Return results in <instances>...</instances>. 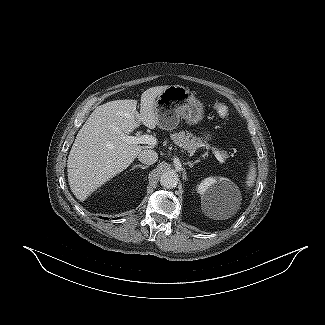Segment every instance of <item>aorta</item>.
Instances as JSON below:
<instances>
[{
	"label": "aorta",
	"mask_w": 325,
	"mask_h": 325,
	"mask_svg": "<svg viewBox=\"0 0 325 325\" xmlns=\"http://www.w3.org/2000/svg\"><path fill=\"white\" fill-rule=\"evenodd\" d=\"M178 175L173 170H168L162 173L160 177V184L165 188H173L178 183Z\"/></svg>",
	"instance_id": "aorta-1"
}]
</instances>
